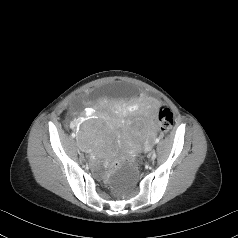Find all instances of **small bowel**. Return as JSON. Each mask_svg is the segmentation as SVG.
Returning a JSON list of instances; mask_svg holds the SVG:
<instances>
[{
    "mask_svg": "<svg viewBox=\"0 0 238 238\" xmlns=\"http://www.w3.org/2000/svg\"><path fill=\"white\" fill-rule=\"evenodd\" d=\"M157 104L153 101H147L145 102L144 104V111H145V114L147 116V119H148V125H149V132H152V129H153V124H152V119H153V116L155 115L156 111H157ZM81 122V119H78L74 122H72L70 124V127L71 128H76L77 125Z\"/></svg>",
    "mask_w": 238,
    "mask_h": 238,
    "instance_id": "1",
    "label": "small bowel"
}]
</instances>
